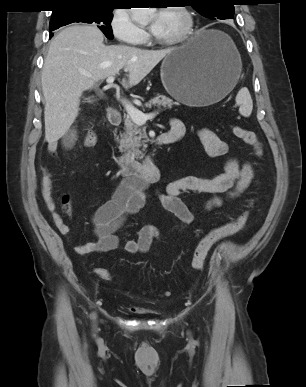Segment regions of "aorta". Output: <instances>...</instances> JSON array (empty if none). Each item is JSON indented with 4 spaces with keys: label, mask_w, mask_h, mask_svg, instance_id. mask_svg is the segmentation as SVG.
Returning <instances> with one entry per match:
<instances>
[{
    "label": "aorta",
    "mask_w": 306,
    "mask_h": 387,
    "mask_svg": "<svg viewBox=\"0 0 306 387\" xmlns=\"http://www.w3.org/2000/svg\"><path fill=\"white\" fill-rule=\"evenodd\" d=\"M154 12V8H131L132 20L137 23H144L149 16Z\"/></svg>",
    "instance_id": "1"
}]
</instances>
